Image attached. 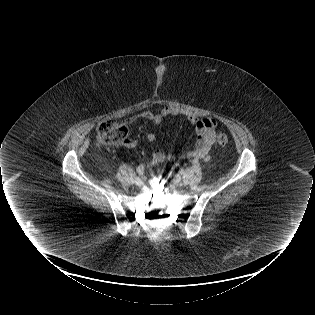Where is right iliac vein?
Here are the masks:
<instances>
[{
    "mask_svg": "<svg viewBox=\"0 0 315 315\" xmlns=\"http://www.w3.org/2000/svg\"><path fill=\"white\" fill-rule=\"evenodd\" d=\"M144 181H145V178L143 176H139V177L136 178L135 183L138 186H142L144 184Z\"/></svg>",
    "mask_w": 315,
    "mask_h": 315,
    "instance_id": "1",
    "label": "right iliac vein"
}]
</instances>
